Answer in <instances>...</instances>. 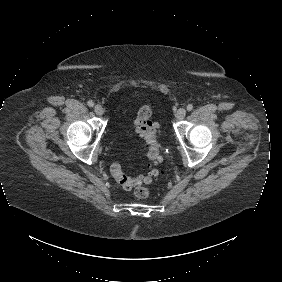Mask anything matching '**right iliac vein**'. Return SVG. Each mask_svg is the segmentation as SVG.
I'll return each mask as SVG.
<instances>
[{"label": "right iliac vein", "mask_w": 282, "mask_h": 282, "mask_svg": "<svg viewBox=\"0 0 282 282\" xmlns=\"http://www.w3.org/2000/svg\"><path fill=\"white\" fill-rule=\"evenodd\" d=\"M94 111H95V113H96L97 115H99V116H102L103 113H104V110H103L102 106H101V105H98V104L95 105Z\"/></svg>", "instance_id": "63e3f726"}]
</instances>
